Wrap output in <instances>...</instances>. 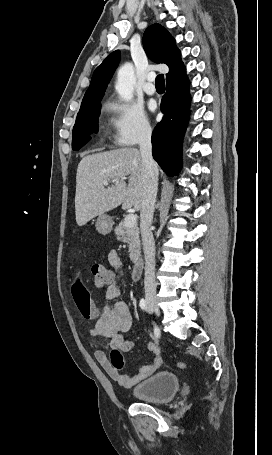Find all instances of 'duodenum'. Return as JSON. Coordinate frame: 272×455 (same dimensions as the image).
Segmentation results:
<instances>
[{"instance_id":"obj_1","label":"duodenum","mask_w":272,"mask_h":455,"mask_svg":"<svg viewBox=\"0 0 272 455\" xmlns=\"http://www.w3.org/2000/svg\"><path fill=\"white\" fill-rule=\"evenodd\" d=\"M143 271V259L141 257H137L135 259L133 269H132V278L134 280H139Z\"/></svg>"}]
</instances>
